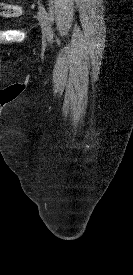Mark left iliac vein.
I'll list each match as a JSON object with an SVG mask.
<instances>
[{"instance_id":"4c4485c4","label":"left iliac vein","mask_w":133,"mask_h":275,"mask_svg":"<svg viewBox=\"0 0 133 275\" xmlns=\"http://www.w3.org/2000/svg\"><path fill=\"white\" fill-rule=\"evenodd\" d=\"M37 18H38L40 26H41L43 38L44 39L49 38V32H51L49 23L45 20V18L43 17V15L40 12H38Z\"/></svg>"}]
</instances>
